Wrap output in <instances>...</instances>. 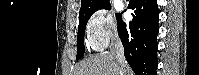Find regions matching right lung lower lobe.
<instances>
[{
    "instance_id": "98d812e1",
    "label": "right lung lower lobe",
    "mask_w": 199,
    "mask_h": 75,
    "mask_svg": "<svg viewBox=\"0 0 199 75\" xmlns=\"http://www.w3.org/2000/svg\"><path fill=\"white\" fill-rule=\"evenodd\" d=\"M133 20L126 24L117 15L118 34L124 55L136 75H156L158 6L156 0H130Z\"/></svg>"
}]
</instances>
